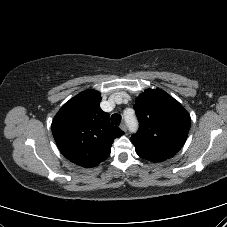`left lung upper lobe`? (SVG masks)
<instances>
[{
  "label": "left lung upper lobe",
  "mask_w": 227,
  "mask_h": 227,
  "mask_svg": "<svg viewBox=\"0 0 227 227\" xmlns=\"http://www.w3.org/2000/svg\"><path fill=\"white\" fill-rule=\"evenodd\" d=\"M139 130L131 136L136 153L143 159L161 162L183 146L190 129V115L183 106L160 89H147L133 106Z\"/></svg>",
  "instance_id": "1"
}]
</instances>
